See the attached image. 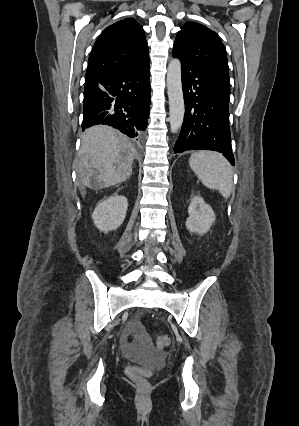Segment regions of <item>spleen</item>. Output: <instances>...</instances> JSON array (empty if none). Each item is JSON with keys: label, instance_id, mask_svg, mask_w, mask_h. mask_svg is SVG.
Returning <instances> with one entry per match:
<instances>
[{"label": "spleen", "instance_id": "obj_1", "mask_svg": "<svg viewBox=\"0 0 299 426\" xmlns=\"http://www.w3.org/2000/svg\"><path fill=\"white\" fill-rule=\"evenodd\" d=\"M189 165L201 182L210 189H217L224 198L232 191V169L229 162L214 151H199L191 155Z\"/></svg>", "mask_w": 299, "mask_h": 426}]
</instances>
